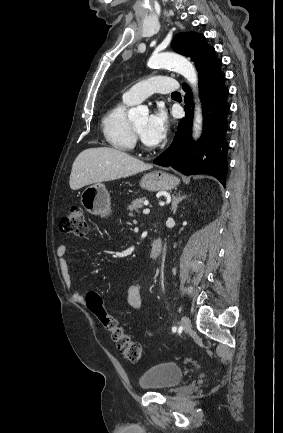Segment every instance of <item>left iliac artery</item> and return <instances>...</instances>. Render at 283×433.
Masks as SVG:
<instances>
[{
    "mask_svg": "<svg viewBox=\"0 0 283 433\" xmlns=\"http://www.w3.org/2000/svg\"><path fill=\"white\" fill-rule=\"evenodd\" d=\"M176 330H177L176 327H173V328H172V331H173V332H175Z\"/></svg>",
    "mask_w": 283,
    "mask_h": 433,
    "instance_id": "1",
    "label": "left iliac artery"
}]
</instances>
